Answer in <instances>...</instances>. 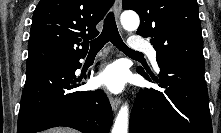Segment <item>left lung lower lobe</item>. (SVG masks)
Here are the masks:
<instances>
[{
	"mask_svg": "<svg viewBox=\"0 0 221 133\" xmlns=\"http://www.w3.org/2000/svg\"><path fill=\"white\" fill-rule=\"evenodd\" d=\"M164 91L140 90L130 116L129 133H212L204 64L188 60L157 61ZM137 72L151 81L143 68Z\"/></svg>",
	"mask_w": 221,
	"mask_h": 133,
	"instance_id": "obj_1",
	"label": "left lung lower lobe"
}]
</instances>
